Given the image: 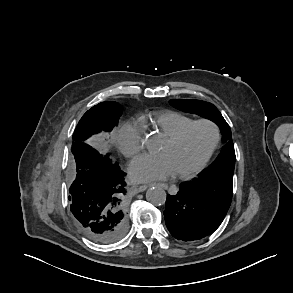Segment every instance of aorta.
Wrapping results in <instances>:
<instances>
[{
	"instance_id": "obj_1",
	"label": "aorta",
	"mask_w": 293,
	"mask_h": 293,
	"mask_svg": "<svg viewBox=\"0 0 293 293\" xmlns=\"http://www.w3.org/2000/svg\"><path fill=\"white\" fill-rule=\"evenodd\" d=\"M147 146L150 147V141L147 142ZM146 199L155 206L163 205L166 201V192L159 187L150 188L146 192Z\"/></svg>"
}]
</instances>
